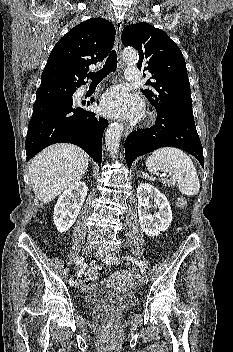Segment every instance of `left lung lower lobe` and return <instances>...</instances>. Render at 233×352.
Returning <instances> with one entry per match:
<instances>
[{
    "label": "left lung lower lobe",
    "instance_id": "1",
    "mask_svg": "<svg viewBox=\"0 0 233 352\" xmlns=\"http://www.w3.org/2000/svg\"><path fill=\"white\" fill-rule=\"evenodd\" d=\"M171 146L182 149L196 157L204 167L203 148L194 119L157 110L155 125L148 129L130 133L125 141V158L128 168L135 158L160 147Z\"/></svg>",
    "mask_w": 233,
    "mask_h": 352
}]
</instances>
